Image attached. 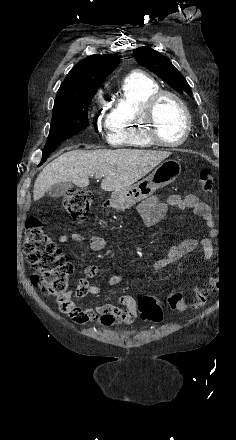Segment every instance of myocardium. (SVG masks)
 Listing matches in <instances>:
<instances>
[{
    "mask_svg": "<svg viewBox=\"0 0 236 440\" xmlns=\"http://www.w3.org/2000/svg\"><path fill=\"white\" fill-rule=\"evenodd\" d=\"M165 97L174 99L181 107L185 116V129L182 137L177 141H164L158 132L156 110L160 101ZM142 120L145 124V133L148 139L154 145L161 147H176L182 145L188 139L192 127L191 114L186 103L177 93L169 90H158L147 99L142 112Z\"/></svg>",
    "mask_w": 236,
    "mask_h": 440,
    "instance_id": "myocardium-1",
    "label": "myocardium"
}]
</instances>
